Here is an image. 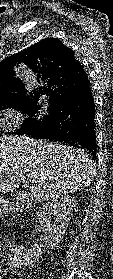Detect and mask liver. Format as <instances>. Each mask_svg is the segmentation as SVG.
Listing matches in <instances>:
<instances>
[{
	"label": "liver",
	"mask_w": 113,
	"mask_h": 279,
	"mask_svg": "<svg viewBox=\"0 0 113 279\" xmlns=\"http://www.w3.org/2000/svg\"><path fill=\"white\" fill-rule=\"evenodd\" d=\"M95 174L94 160L81 149L26 136L0 138L2 193L15 191L25 178L32 199L55 201L89 186Z\"/></svg>",
	"instance_id": "6515ba94"
}]
</instances>
